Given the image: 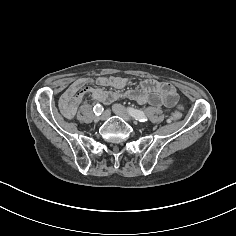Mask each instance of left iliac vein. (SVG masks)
I'll return each mask as SVG.
<instances>
[{"instance_id": "1", "label": "left iliac vein", "mask_w": 236, "mask_h": 236, "mask_svg": "<svg viewBox=\"0 0 236 236\" xmlns=\"http://www.w3.org/2000/svg\"><path fill=\"white\" fill-rule=\"evenodd\" d=\"M112 111L119 117L123 118L126 121H131L132 118L126 108L121 104H113Z\"/></svg>"}]
</instances>
